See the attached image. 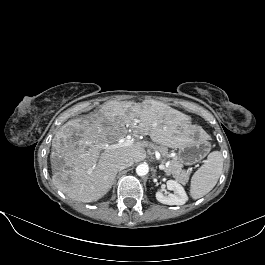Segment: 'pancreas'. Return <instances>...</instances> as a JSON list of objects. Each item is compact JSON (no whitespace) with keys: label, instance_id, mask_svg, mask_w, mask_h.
Listing matches in <instances>:
<instances>
[{"label":"pancreas","instance_id":"pancreas-1","mask_svg":"<svg viewBox=\"0 0 265 265\" xmlns=\"http://www.w3.org/2000/svg\"><path fill=\"white\" fill-rule=\"evenodd\" d=\"M159 151L162 156L168 155V149L166 147H159ZM183 165L175 156L169 162V164L165 168V172L167 174L173 175V177L178 181H186L188 179V174L182 169Z\"/></svg>","mask_w":265,"mask_h":265}]
</instances>
